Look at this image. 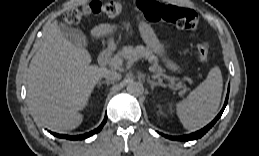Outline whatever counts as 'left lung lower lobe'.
<instances>
[{"instance_id": "1", "label": "left lung lower lobe", "mask_w": 259, "mask_h": 156, "mask_svg": "<svg viewBox=\"0 0 259 156\" xmlns=\"http://www.w3.org/2000/svg\"><path fill=\"white\" fill-rule=\"evenodd\" d=\"M228 93H229V87H228ZM227 101H228V94L226 96L224 106H223L222 110L220 111V113L216 116V118L210 124H208L203 129H201L197 132L188 134V135H183V136H168V135H163V136H165L168 139L178 140V141H189V140H195V139L201 138L216 123V121L220 118V116L222 115V113H223V111H224V109L227 105Z\"/></svg>"}]
</instances>
